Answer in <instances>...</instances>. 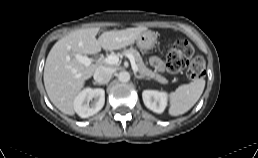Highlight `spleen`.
Listing matches in <instances>:
<instances>
[{
  "label": "spleen",
  "mask_w": 258,
  "mask_h": 158,
  "mask_svg": "<svg viewBox=\"0 0 258 158\" xmlns=\"http://www.w3.org/2000/svg\"><path fill=\"white\" fill-rule=\"evenodd\" d=\"M205 80L196 78L191 83L179 86L170 94L169 114L178 116L190 110L201 97Z\"/></svg>",
  "instance_id": "3e777b00"
}]
</instances>
